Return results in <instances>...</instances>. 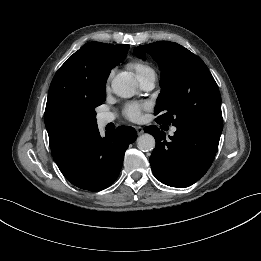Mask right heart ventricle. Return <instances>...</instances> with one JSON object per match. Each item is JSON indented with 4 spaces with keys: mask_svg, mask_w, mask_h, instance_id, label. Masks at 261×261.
Returning a JSON list of instances; mask_svg holds the SVG:
<instances>
[{
    "mask_svg": "<svg viewBox=\"0 0 261 261\" xmlns=\"http://www.w3.org/2000/svg\"><path fill=\"white\" fill-rule=\"evenodd\" d=\"M129 67L135 72L139 80L149 75H155L153 67L144 61H132L129 64Z\"/></svg>",
    "mask_w": 261,
    "mask_h": 261,
    "instance_id": "obj_1",
    "label": "right heart ventricle"
}]
</instances>
